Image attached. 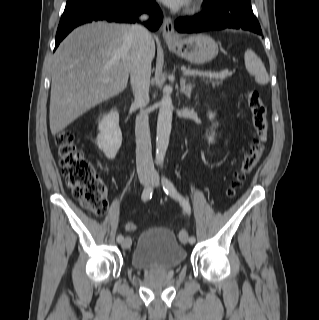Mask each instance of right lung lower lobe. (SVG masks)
<instances>
[{"instance_id": "right-lung-lower-lobe-1", "label": "right lung lower lobe", "mask_w": 319, "mask_h": 320, "mask_svg": "<svg viewBox=\"0 0 319 320\" xmlns=\"http://www.w3.org/2000/svg\"><path fill=\"white\" fill-rule=\"evenodd\" d=\"M151 14L145 25L157 30L163 21V14L154 0H88L77 7L64 10L56 33L55 49L75 27L97 20L135 22L137 15Z\"/></svg>"}]
</instances>
